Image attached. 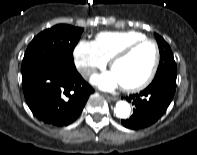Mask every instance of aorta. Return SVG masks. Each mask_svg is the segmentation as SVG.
I'll use <instances>...</instances> for the list:
<instances>
[{
    "mask_svg": "<svg viewBox=\"0 0 197 155\" xmlns=\"http://www.w3.org/2000/svg\"><path fill=\"white\" fill-rule=\"evenodd\" d=\"M114 111L118 118L126 119L130 115L131 107L126 101H118Z\"/></svg>",
    "mask_w": 197,
    "mask_h": 155,
    "instance_id": "762f6f07",
    "label": "aorta"
}]
</instances>
